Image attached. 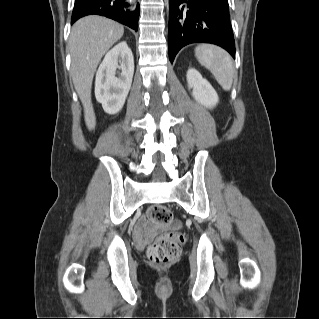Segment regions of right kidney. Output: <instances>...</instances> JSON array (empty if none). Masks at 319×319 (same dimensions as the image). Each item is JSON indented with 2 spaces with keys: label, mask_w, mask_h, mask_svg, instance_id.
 <instances>
[{
  "label": "right kidney",
  "mask_w": 319,
  "mask_h": 319,
  "mask_svg": "<svg viewBox=\"0 0 319 319\" xmlns=\"http://www.w3.org/2000/svg\"><path fill=\"white\" fill-rule=\"evenodd\" d=\"M133 74L132 51L125 41L120 42L105 55L96 73L95 96L106 113L113 115L122 109L131 88Z\"/></svg>",
  "instance_id": "obj_1"
}]
</instances>
